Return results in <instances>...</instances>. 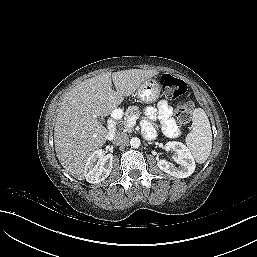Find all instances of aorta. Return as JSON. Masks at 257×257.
I'll return each instance as SVG.
<instances>
[{"label":"aorta","instance_id":"1","mask_svg":"<svg viewBox=\"0 0 257 257\" xmlns=\"http://www.w3.org/2000/svg\"><path fill=\"white\" fill-rule=\"evenodd\" d=\"M140 145H141V141H140V139L138 137H132L130 139V146L132 148H139Z\"/></svg>","mask_w":257,"mask_h":257}]
</instances>
